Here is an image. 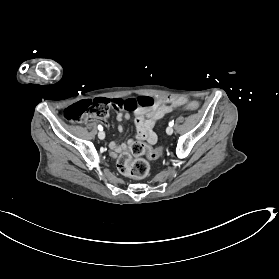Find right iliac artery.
Returning a JSON list of instances; mask_svg holds the SVG:
<instances>
[{"label":"right iliac artery","mask_w":279,"mask_h":279,"mask_svg":"<svg viewBox=\"0 0 279 279\" xmlns=\"http://www.w3.org/2000/svg\"><path fill=\"white\" fill-rule=\"evenodd\" d=\"M98 129H99L100 131H102V130H103V127H102L101 125H98Z\"/></svg>","instance_id":"82829eb1"}]
</instances>
